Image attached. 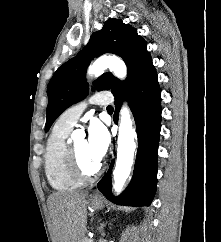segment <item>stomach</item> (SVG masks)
<instances>
[{
	"label": "stomach",
	"instance_id": "0dacf381",
	"mask_svg": "<svg viewBox=\"0 0 221 242\" xmlns=\"http://www.w3.org/2000/svg\"><path fill=\"white\" fill-rule=\"evenodd\" d=\"M89 205L93 208V209H100L103 207V199L102 198H94L91 197L89 199Z\"/></svg>",
	"mask_w": 221,
	"mask_h": 242
}]
</instances>
